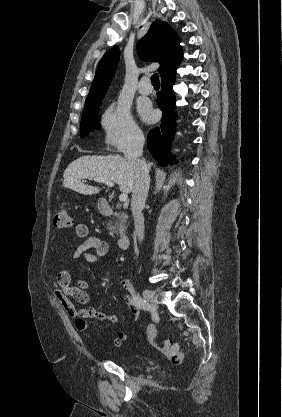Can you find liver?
<instances>
[{"mask_svg":"<svg viewBox=\"0 0 282 417\" xmlns=\"http://www.w3.org/2000/svg\"><path fill=\"white\" fill-rule=\"evenodd\" d=\"M151 164V162H150ZM134 166L132 162L118 156V154H87L79 156L68 164L63 172V186L72 188L80 194H96L100 188L81 182L83 178H106L111 182H117L121 192H131L134 186Z\"/></svg>","mask_w":282,"mask_h":417,"instance_id":"1","label":"liver"}]
</instances>
